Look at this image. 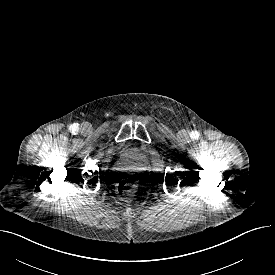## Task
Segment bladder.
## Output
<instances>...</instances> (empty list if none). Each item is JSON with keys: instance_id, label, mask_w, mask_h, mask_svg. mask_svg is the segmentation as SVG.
<instances>
[{"instance_id": "bladder-1", "label": "bladder", "mask_w": 275, "mask_h": 275, "mask_svg": "<svg viewBox=\"0 0 275 275\" xmlns=\"http://www.w3.org/2000/svg\"><path fill=\"white\" fill-rule=\"evenodd\" d=\"M116 168L123 177L127 179H136L145 172L147 168V159L140 150L136 148H127L118 155L116 159Z\"/></svg>"}]
</instances>
